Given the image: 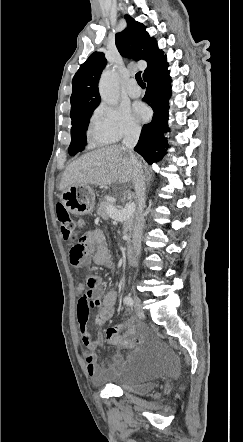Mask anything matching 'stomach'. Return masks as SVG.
I'll return each instance as SVG.
<instances>
[{
  "mask_svg": "<svg viewBox=\"0 0 243 442\" xmlns=\"http://www.w3.org/2000/svg\"><path fill=\"white\" fill-rule=\"evenodd\" d=\"M60 197L64 207L72 214L87 215L93 211L95 193L89 185H72Z\"/></svg>",
  "mask_w": 243,
  "mask_h": 442,
  "instance_id": "0dacf381",
  "label": "stomach"
}]
</instances>
